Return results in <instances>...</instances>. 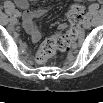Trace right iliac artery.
<instances>
[{"instance_id":"82829eb1","label":"right iliac artery","mask_w":103,"mask_h":103,"mask_svg":"<svg viewBox=\"0 0 103 103\" xmlns=\"http://www.w3.org/2000/svg\"><path fill=\"white\" fill-rule=\"evenodd\" d=\"M13 15L15 16V17H18L19 15H20V13H19V11L18 10H14L13 11Z\"/></svg>"}]
</instances>
